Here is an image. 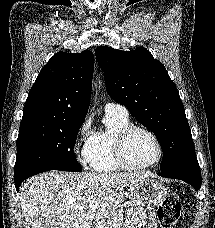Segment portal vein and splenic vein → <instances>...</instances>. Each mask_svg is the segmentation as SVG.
Returning a JSON list of instances; mask_svg holds the SVG:
<instances>
[{
    "mask_svg": "<svg viewBox=\"0 0 215 228\" xmlns=\"http://www.w3.org/2000/svg\"><path fill=\"white\" fill-rule=\"evenodd\" d=\"M87 204H88V206H90V208H94V206H96V202H95L94 198H89Z\"/></svg>",
    "mask_w": 215,
    "mask_h": 228,
    "instance_id": "obj_1",
    "label": "portal vein and splenic vein"
}]
</instances>
